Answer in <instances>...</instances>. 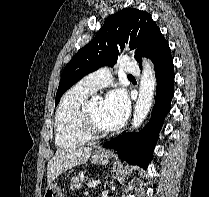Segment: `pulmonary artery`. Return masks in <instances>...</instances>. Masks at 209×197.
<instances>
[{"instance_id":"1","label":"pulmonary artery","mask_w":209,"mask_h":197,"mask_svg":"<svg viewBox=\"0 0 209 197\" xmlns=\"http://www.w3.org/2000/svg\"><path fill=\"white\" fill-rule=\"evenodd\" d=\"M123 71L131 75L139 74V67L130 58L123 61ZM111 83V74L108 68H101L85 76L78 84L87 90L96 92Z\"/></svg>"}]
</instances>
